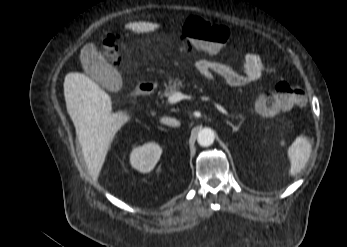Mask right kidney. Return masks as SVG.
Masks as SVG:
<instances>
[{"instance_id":"right-kidney-1","label":"right kidney","mask_w":347,"mask_h":247,"mask_svg":"<svg viewBox=\"0 0 347 247\" xmlns=\"http://www.w3.org/2000/svg\"><path fill=\"white\" fill-rule=\"evenodd\" d=\"M162 149L156 143H147L133 149L130 155V162L133 168L148 173L154 169L160 159Z\"/></svg>"}]
</instances>
